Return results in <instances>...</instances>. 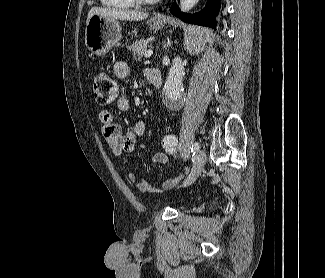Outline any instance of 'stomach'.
Returning a JSON list of instances; mask_svg holds the SVG:
<instances>
[{"instance_id":"stomach-1","label":"stomach","mask_w":325,"mask_h":278,"mask_svg":"<svg viewBox=\"0 0 325 278\" xmlns=\"http://www.w3.org/2000/svg\"><path fill=\"white\" fill-rule=\"evenodd\" d=\"M148 25L150 29L156 31L163 27L164 21L152 17ZM121 37V25L116 19L93 15L86 23L85 44L96 56L108 53L110 49L118 45Z\"/></svg>"}]
</instances>
